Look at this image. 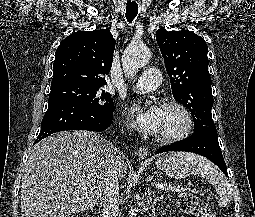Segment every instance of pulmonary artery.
<instances>
[{
  "label": "pulmonary artery",
  "mask_w": 255,
  "mask_h": 217,
  "mask_svg": "<svg viewBox=\"0 0 255 217\" xmlns=\"http://www.w3.org/2000/svg\"><path fill=\"white\" fill-rule=\"evenodd\" d=\"M160 85V71L156 68L145 70L138 78L132 89L139 93L155 90Z\"/></svg>",
  "instance_id": "obj_1"
}]
</instances>
